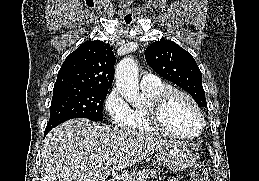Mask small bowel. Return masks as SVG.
<instances>
[{"instance_id": "c3829d8e", "label": "small bowel", "mask_w": 259, "mask_h": 181, "mask_svg": "<svg viewBox=\"0 0 259 181\" xmlns=\"http://www.w3.org/2000/svg\"><path fill=\"white\" fill-rule=\"evenodd\" d=\"M171 181H179V180H171Z\"/></svg>"}]
</instances>
